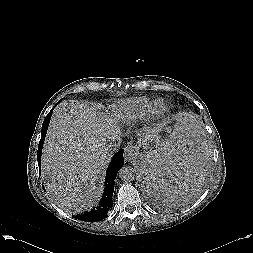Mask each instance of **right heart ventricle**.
<instances>
[{
	"label": "right heart ventricle",
	"mask_w": 253,
	"mask_h": 253,
	"mask_svg": "<svg viewBox=\"0 0 253 253\" xmlns=\"http://www.w3.org/2000/svg\"><path fill=\"white\" fill-rule=\"evenodd\" d=\"M151 100L147 97H136L123 101L118 108L117 117L123 123H133L146 116Z\"/></svg>",
	"instance_id": "1"
}]
</instances>
